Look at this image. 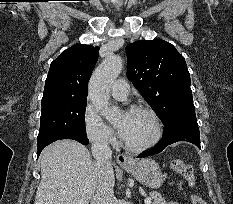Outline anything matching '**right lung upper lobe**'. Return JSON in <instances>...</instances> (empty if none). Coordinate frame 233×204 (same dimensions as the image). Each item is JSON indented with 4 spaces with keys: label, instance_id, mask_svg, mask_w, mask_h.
<instances>
[{
    "label": "right lung upper lobe",
    "instance_id": "1",
    "mask_svg": "<svg viewBox=\"0 0 233 204\" xmlns=\"http://www.w3.org/2000/svg\"><path fill=\"white\" fill-rule=\"evenodd\" d=\"M99 47L75 44L50 65L42 102L87 99V84L98 60Z\"/></svg>",
    "mask_w": 233,
    "mask_h": 204
}]
</instances>
